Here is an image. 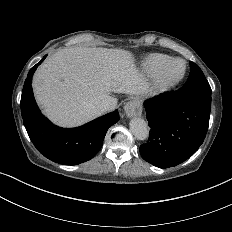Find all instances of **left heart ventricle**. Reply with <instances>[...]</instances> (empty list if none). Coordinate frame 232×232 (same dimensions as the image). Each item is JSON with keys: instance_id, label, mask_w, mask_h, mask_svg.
I'll list each match as a JSON object with an SVG mask.
<instances>
[{"instance_id": "b2bd125f", "label": "left heart ventricle", "mask_w": 232, "mask_h": 232, "mask_svg": "<svg viewBox=\"0 0 232 232\" xmlns=\"http://www.w3.org/2000/svg\"><path fill=\"white\" fill-rule=\"evenodd\" d=\"M183 67H184V66H183L182 63L176 64L175 67H174V73H175V74L181 73L182 70H183Z\"/></svg>"}]
</instances>
